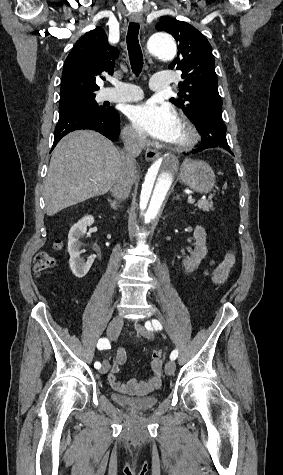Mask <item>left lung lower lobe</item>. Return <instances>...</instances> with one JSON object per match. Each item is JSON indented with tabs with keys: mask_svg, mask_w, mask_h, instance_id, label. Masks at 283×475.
Listing matches in <instances>:
<instances>
[{
	"mask_svg": "<svg viewBox=\"0 0 283 475\" xmlns=\"http://www.w3.org/2000/svg\"><path fill=\"white\" fill-rule=\"evenodd\" d=\"M193 122L202 136L201 143L192 151L193 154L213 147L223 148L232 154L226 139V126L222 119V107H204L200 111V116Z\"/></svg>",
	"mask_w": 283,
	"mask_h": 475,
	"instance_id": "1",
	"label": "left lung lower lobe"
}]
</instances>
